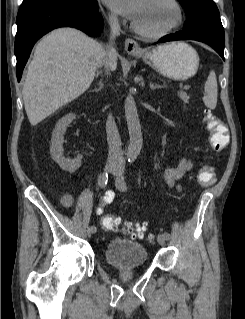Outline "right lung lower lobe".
Listing matches in <instances>:
<instances>
[{
	"instance_id": "right-lung-lower-lobe-1",
	"label": "right lung lower lobe",
	"mask_w": 245,
	"mask_h": 319,
	"mask_svg": "<svg viewBox=\"0 0 245 319\" xmlns=\"http://www.w3.org/2000/svg\"><path fill=\"white\" fill-rule=\"evenodd\" d=\"M64 26L78 28L90 36L99 35L103 18L98 13L97 0L84 3L56 1L19 9L15 40L18 81L35 42L52 29Z\"/></svg>"
}]
</instances>
